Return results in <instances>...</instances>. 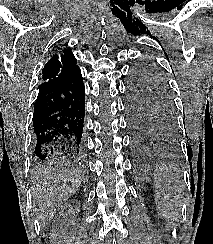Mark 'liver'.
Wrapping results in <instances>:
<instances>
[{
	"instance_id": "1",
	"label": "liver",
	"mask_w": 213,
	"mask_h": 244,
	"mask_svg": "<svg viewBox=\"0 0 213 244\" xmlns=\"http://www.w3.org/2000/svg\"><path fill=\"white\" fill-rule=\"evenodd\" d=\"M80 183V172L62 163L56 162L35 172L32 202L41 225L50 223L57 209L78 190Z\"/></svg>"
}]
</instances>
